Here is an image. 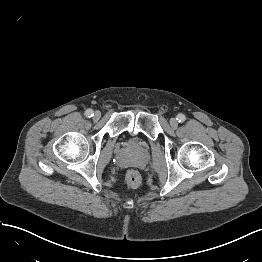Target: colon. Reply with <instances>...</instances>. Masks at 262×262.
I'll return each instance as SVG.
<instances>
[{
  "label": "colon",
  "instance_id": "obj_1",
  "mask_svg": "<svg viewBox=\"0 0 262 262\" xmlns=\"http://www.w3.org/2000/svg\"><path fill=\"white\" fill-rule=\"evenodd\" d=\"M127 186L130 189H136L141 184V178L138 172L132 170L127 174Z\"/></svg>",
  "mask_w": 262,
  "mask_h": 262
}]
</instances>
